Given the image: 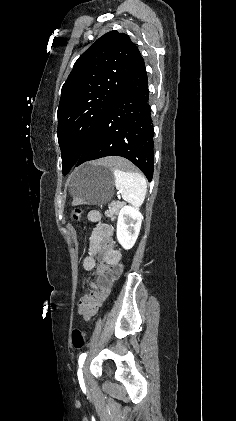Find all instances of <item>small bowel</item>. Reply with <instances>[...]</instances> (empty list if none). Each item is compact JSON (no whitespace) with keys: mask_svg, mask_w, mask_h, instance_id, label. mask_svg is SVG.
<instances>
[{"mask_svg":"<svg viewBox=\"0 0 236 421\" xmlns=\"http://www.w3.org/2000/svg\"><path fill=\"white\" fill-rule=\"evenodd\" d=\"M88 219L90 222L95 224L91 240L93 243H96L99 240L110 241L113 236V228L109 224L101 222V214L98 211H90L88 213ZM91 260V257L88 258V261ZM80 313H83L82 306L79 309Z\"/></svg>","mask_w":236,"mask_h":421,"instance_id":"small-bowel-1","label":"small bowel"}]
</instances>
